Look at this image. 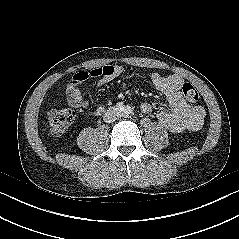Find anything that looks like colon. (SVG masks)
<instances>
[{
	"instance_id": "colon-1",
	"label": "colon",
	"mask_w": 239,
	"mask_h": 239,
	"mask_svg": "<svg viewBox=\"0 0 239 239\" xmlns=\"http://www.w3.org/2000/svg\"><path fill=\"white\" fill-rule=\"evenodd\" d=\"M182 94L191 103L199 100V93L191 83H184L181 88ZM74 112L69 109L52 110L47 115L49 132L52 135L62 134L73 122Z\"/></svg>"
}]
</instances>
